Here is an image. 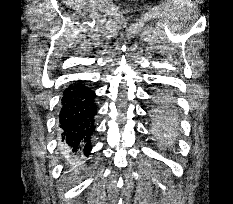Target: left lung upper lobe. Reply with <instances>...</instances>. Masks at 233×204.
<instances>
[{
	"label": "left lung upper lobe",
	"mask_w": 233,
	"mask_h": 204,
	"mask_svg": "<svg viewBox=\"0 0 233 204\" xmlns=\"http://www.w3.org/2000/svg\"><path fill=\"white\" fill-rule=\"evenodd\" d=\"M158 115L168 121H171V122L174 121V116L172 114H167L165 112H159Z\"/></svg>",
	"instance_id": "5c2ea615"
}]
</instances>
